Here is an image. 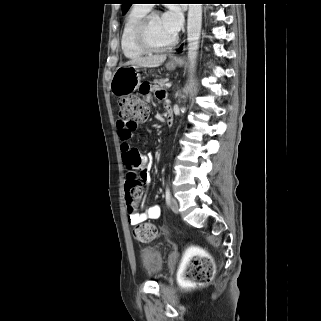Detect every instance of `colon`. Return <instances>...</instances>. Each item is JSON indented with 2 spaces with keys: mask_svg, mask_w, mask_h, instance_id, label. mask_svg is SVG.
<instances>
[{
  "mask_svg": "<svg viewBox=\"0 0 321 321\" xmlns=\"http://www.w3.org/2000/svg\"><path fill=\"white\" fill-rule=\"evenodd\" d=\"M118 105L119 120L132 129H136L138 124L148 118L149 108L141 97L127 96L121 98ZM144 166L145 161L139 152H133L129 155L126 167L130 170V173L125 182L126 205L129 213H135L141 202L143 188L135 172L140 171ZM157 233V228L150 223L142 224L134 230V235L140 242L154 240ZM214 273L215 264L211 256L200 247H190L183 272L185 280L196 285H202L208 283Z\"/></svg>",
  "mask_w": 321,
  "mask_h": 321,
  "instance_id": "1",
  "label": "colon"
}]
</instances>
